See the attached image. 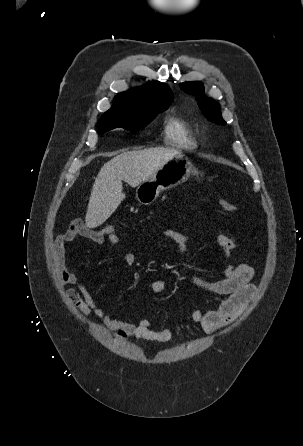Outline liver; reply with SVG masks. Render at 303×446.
Returning <instances> with one entry per match:
<instances>
[{"label": "liver", "instance_id": "liver-1", "mask_svg": "<svg viewBox=\"0 0 303 446\" xmlns=\"http://www.w3.org/2000/svg\"><path fill=\"white\" fill-rule=\"evenodd\" d=\"M177 155H181L178 150L150 148L123 152L105 163L92 187L85 217L86 226H100L114 213L125 198L122 180L136 187Z\"/></svg>", "mask_w": 303, "mask_h": 446}]
</instances>
